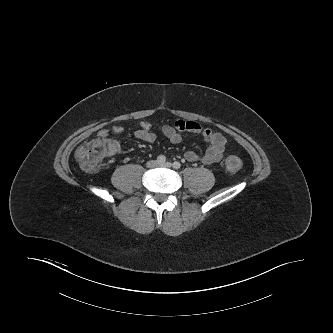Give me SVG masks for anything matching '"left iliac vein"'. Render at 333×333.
Instances as JSON below:
<instances>
[{
    "label": "left iliac vein",
    "instance_id": "4c4485c4",
    "mask_svg": "<svg viewBox=\"0 0 333 333\" xmlns=\"http://www.w3.org/2000/svg\"><path fill=\"white\" fill-rule=\"evenodd\" d=\"M160 166H163V167H171L172 166V164L170 163V162H166V163H164V164H160Z\"/></svg>",
    "mask_w": 333,
    "mask_h": 333
}]
</instances>
